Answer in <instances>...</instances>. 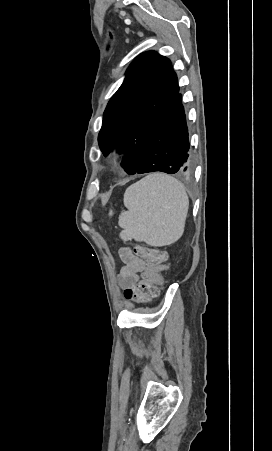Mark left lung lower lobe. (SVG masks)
Returning <instances> with one entry per match:
<instances>
[{
  "label": "left lung lower lobe",
  "mask_w": 272,
  "mask_h": 451,
  "mask_svg": "<svg viewBox=\"0 0 272 451\" xmlns=\"http://www.w3.org/2000/svg\"><path fill=\"white\" fill-rule=\"evenodd\" d=\"M188 152V128L178 91L160 116L136 173L186 171L192 166Z\"/></svg>",
  "instance_id": "left-lung-lower-lobe-1"
}]
</instances>
